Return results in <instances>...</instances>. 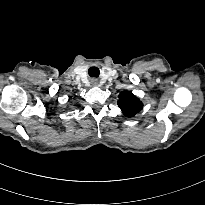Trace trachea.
<instances>
[{"mask_svg":"<svg viewBox=\"0 0 205 205\" xmlns=\"http://www.w3.org/2000/svg\"><path fill=\"white\" fill-rule=\"evenodd\" d=\"M88 72L92 77H97L99 75V69L97 67H91Z\"/></svg>","mask_w":205,"mask_h":205,"instance_id":"1","label":"trachea"}]
</instances>
